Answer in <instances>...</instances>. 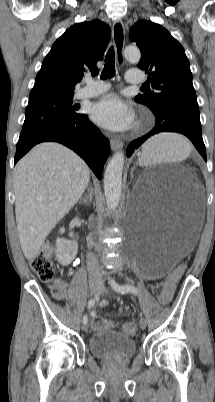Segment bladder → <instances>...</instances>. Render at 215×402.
Here are the masks:
<instances>
[{
	"label": "bladder",
	"mask_w": 215,
	"mask_h": 402,
	"mask_svg": "<svg viewBox=\"0 0 215 402\" xmlns=\"http://www.w3.org/2000/svg\"><path fill=\"white\" fill-rule=\"evenodd\" d=\"M88 348L91 354L97 358L123 361L134 356L136 342L127 334L104 328L95 331L89 337Z\"/></svg>",
	"instance_id": "31cf9c89"
}]
</instances>
